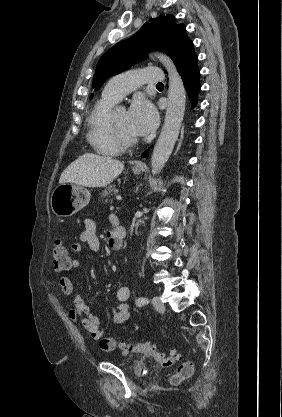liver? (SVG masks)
I'll list each match as a JSON object with an SVG mask.
<instances>
[{
  "label": "liver",
  "mask_w": 282,
  "mask_h": 417,
  "mask_svg": "<svg viewBox=\"0 0 282 417\" xmlns=\"http://www.w3.org/2000/svg\"><path fill=\"white\" fill-rule=\"evenodd\" d=\"M124 168L123 162L112 156L85 152L63 170L59 182H74L80 186H107Z\"/></svg>",
  "instance_id": "6515ba94"
}]
</instances>
